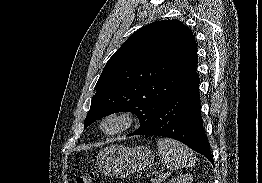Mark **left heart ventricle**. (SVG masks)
Masks as SVG:
<instances>
[{"mask_svg": "<svg viewBox=\"0 0 262 183\" xmlns=\"http://www.w3.org/2000/svg\"><path fill=\"white\" fill-rule=\"evenodd\" d=\"M118 121L114 120V119H110L108 121H106L104 127L107 130H113L118 126Z\"/></svg>", "mask_w": 262, "mask_h": 183, "instance_id": "b2bd125f", "label": "left heart ventricle"}]
</instances>
